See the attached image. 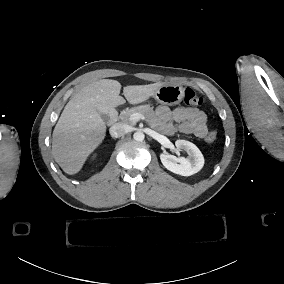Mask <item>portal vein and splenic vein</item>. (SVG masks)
Masks as SVG:
<instances>
[{"mask_svg":"<svg viewBox=\"0 0 284 284\" xmlns=\"http://www.w3.org/2000/svg\"><path fill=\"white\" fill-rule=\"evenodd\" d=\"M129 120H130L131 122H133V123H136V122H138V121H140V120H145V116L142 115V114H140V113H133V114L130 116Z\"/></svg>","mask_w":284,"mask_h":284,"instance_id":"obj_1","label":"portal vein and splenic vein"}]
</instances>
